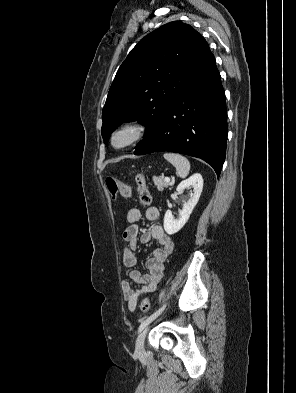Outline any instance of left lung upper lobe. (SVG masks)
Wrapping results in <instances>:
<instances>
[{"label":"left lung upper lobe","mask_w":296,"mask_h":393,"mask_svg":"<svg viewBox=\"0 0 296 393\" xmlns=\"http://www.w3.org/2000/svg\"><path fill=\"white\" fill-rule=\"evenodd\" d=\"M212 55L205 39L181 21L146 35L120 66L102 111V137L123 122L147 127L142 145L156 130L168 108Z\"/></svg>","instance_id":"1"}]
</instances>
